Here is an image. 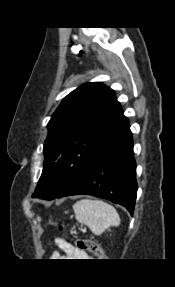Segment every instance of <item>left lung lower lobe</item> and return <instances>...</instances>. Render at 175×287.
Wrapping results in <instances>:
<instances>
[{"label": "left lung lower lobe", "mask_w": 175, "mask_h": 287, "mask_svg": "<svg viewBox=\"0 0 175 287\" xmlns=\"http://www.w3.org/2000/svg\"><path fill=\"white\" fill-rule=\"evenodd\" d=\"M80 194L110 200L133 214L137 182L129 123L99 150L86 170L56 197Z\"/></svg>", "instance_id": "1"}]
</instances>
